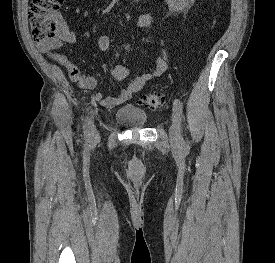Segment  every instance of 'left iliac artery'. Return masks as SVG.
Listing matches in <instances>:
<instances>
[{
	"label": "left iliac artery",
	"mask_w": 275,
	"mask_h": 263,
	"mask_svg": "<svg viewBox=\"0 0 275 263\" xmlns=\"http://www.w3.org/2000/svg\"><path fill=\"white\" fill-rule=\"evenodd\" d=\"M173 107H174V111L176 112L178 118H179V122H182L183 119V105L182 102L179 99H175L174 103H173ZM180 142L182 144H184V139L181 136L180 137Z\"/></svg>",
	"instance_id": "left-iliac-artery-1"
}]
</instances>
